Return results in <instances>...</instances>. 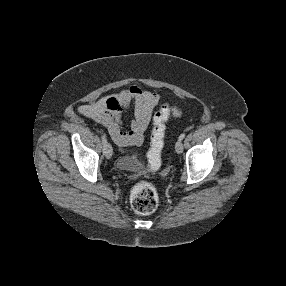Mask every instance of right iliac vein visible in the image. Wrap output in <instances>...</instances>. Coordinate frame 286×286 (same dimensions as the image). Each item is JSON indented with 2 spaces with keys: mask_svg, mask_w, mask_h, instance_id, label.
Instances as JSON below:
<instances>
[{
  "mask_svg": "<svg viewBox=\"0 0 286 286\" xmlns=\"http://www.w3.org/2000/svg\"><path fill=\"white\" fill-rule=\"evenodd\" d=\"M112 153H113L112 146L108 143L107 147H106V150H105V157L107 159H110L112 157Z\"/></svg>",
  "mask_w": 286,
  "mask_h": 286,
  "instance_id": "obj_1",
  "label": "right iliac vein"
}]
</instances>
